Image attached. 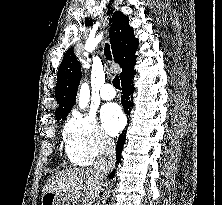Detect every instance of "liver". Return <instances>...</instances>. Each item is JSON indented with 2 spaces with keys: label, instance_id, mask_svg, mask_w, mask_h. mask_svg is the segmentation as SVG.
Masks as SVG:
<instances>
[{
  "label": "liver",
  "instance_id": "liver-1",
  "mask_svg": "<svg viewBox=\"0 0 222 205\" xmlns=\"http://www.w3.org/2000/svg\"><path fill=\"white\" fill-rule=\"evenodd\" d=\"M103 185V179L94 170L73 168L52 176L44 186L43 194L54 192L66 202L92 205Z\"/></svg>",
  "mask_w": 222,
  "mask_h": 205
}]
</instances>
